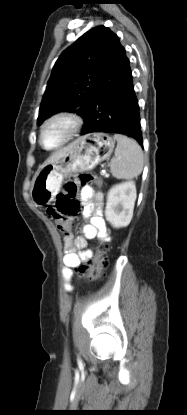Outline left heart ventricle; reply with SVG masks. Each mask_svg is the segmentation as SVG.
I'll list each match as a JSON object with an SVG mask.
<instances>
[{
    "instance_id": "1",
    "label": "left heart ventricle",
    "mask_w": 187,
    "mask_h": 415,
    "mask_svg": "<svg viewBox=\"0 0 187 415\" xmlns=\"http://www.w3.org/2000/svg\"><path fill=\"white\" fill-rule=\"evenodd\" d=\"M70 125L66 121H55L45 130L43 142L45 146L52 147L60 143L67 135Z\"/></svg>"
}]
</instances>
